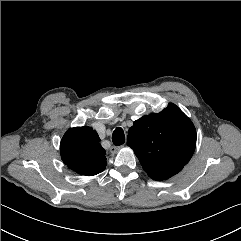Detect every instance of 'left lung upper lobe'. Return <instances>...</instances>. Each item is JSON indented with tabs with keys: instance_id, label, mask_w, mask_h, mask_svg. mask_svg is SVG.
Returning <instances> with one entry per match:
<instances>
[{
	"instance_id": "5c2ea615",
	"label": "left lung upper lobe",
	"mask_w": 241,
	"mask_h": 241,
	"mask_svg": "<svg viewBox=\"0 0 241 241\" xmlns=\"http://www.w3.org/2000/svg\"><path fill=\"white\" fill-rule=\"evenodd\" d=\"M127 145L153 180L162 181L180 172L196 146L191 120L173 103L160 113L136 120L128 132Z\"/></svg>"
}]
</instances>
